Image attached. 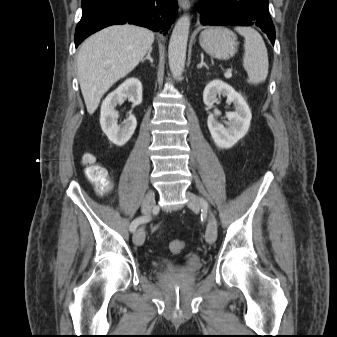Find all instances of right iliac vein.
<instances>
[{
	"label": "right iliac vein",
	"instance_id": "1",
	"mask_svg": "<svg viewBox=\"0 0 337 337\" xmlns=\"http://www.w3.org/2000/svg\"><path fill=\"white\" fill-rule=\"evenodd\" d=\"M155 206V195L152 190H149L142 202L141 211L144 216H148ZM145 241V231L143 227L137 229L133 234V242L137 246L143 245Z\"/></svg>",
	"mask_w": 337,
	"mask_h": 337
}]
</instances>
